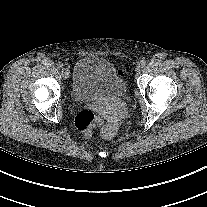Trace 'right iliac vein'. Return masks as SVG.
Wrapping results in <instances>:
<instances>
[{
    "label": "right iliac vein",
    "instance_id": "right-iliac-vein-1",
    "mask_svg": "<svg viewBox=\"0 0 207 207\" xmlns=\"http://www.w3.org/2000/svg\"><path fill=\"white\" fill-rule=\"evenodd\" d=\"M61 75L64 79H67L68 78V75H69V72L67 69H62L61 71Z\"/></svg>",
    "mask_w": 207,
    "mask_h": 207
}]
</instances>
